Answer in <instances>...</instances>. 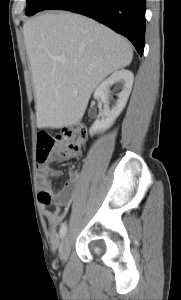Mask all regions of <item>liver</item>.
I'll return each instance as SVG.
<instances>
[{
  "label": "liver",
  "mask_w": 181,
  "mask_h": 300,
  "mask_svg": "<svg viewBox=\"0 0 181 300\" xmlns=\"http://www.w3.org/2000/svg\"><path fill=\"white\" fill-rule=\"evenodd\" d=\"M23 35L40 129L77 124L99 83L133 58L127 39L76 13L40 14L24 23Z\"/></svg>",
  "instance_id": "obj_1"
}]
</instances>
